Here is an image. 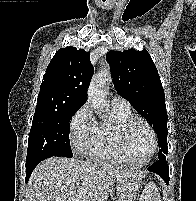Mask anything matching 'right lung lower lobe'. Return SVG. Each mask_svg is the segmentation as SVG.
I'll list each match as a JSON object with an SVG mask.
<instances>
[{
  "mask_svg": "<svg viewBox=\"0 0 196 201\" xmlns=\"http://www.w3.org/2000/svg\"><path fill=\"white\" fill-rule=\"evenodd\" d=\"M44 159H46V158H44ZM44 159H39V160L32 161L30 163H26V182L28 181L32 171L37 166V164L40 163Z\"/></svg>",
  "mask_w": 196,
  "mask_h": 201,
  "instance_id": "right-lung-lower-lobe-1",
  "label": "right lung lower lobe"
}]
</instances>
